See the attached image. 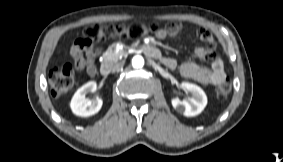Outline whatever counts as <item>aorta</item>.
<instances>
[{
    "label": "aorta",
    "instance_id": "762f6f07",
    "mask_svg": "<svg viewBox=\"0 0 283 162\" xmlns=\"http://www.w3.org/2000/svg\"><path fill=\"white\" fill-rule=\"evenodd\" d=\"M144 63V58L140 55H136L132 58V66L136 69L142 68Z\"/></svg>",
    "mask_w": 283,
    "mask_h": 162
}]
</instances>
